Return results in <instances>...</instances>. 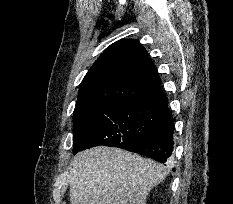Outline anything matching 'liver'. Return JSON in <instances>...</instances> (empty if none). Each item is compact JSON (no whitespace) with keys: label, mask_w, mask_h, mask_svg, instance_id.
<instances>
[{"label":"liver","mask_w":233,"mask_h":204,"mask_svg":"<svg viewBox=\"0 0 233 204\" xmlns=\"http://www.w3.org/2000/svg\"><path fill=\"white\" fill-rule=\"evenodd\" d=\"M167 175L151 159L119 148L97 146L70 162L71 204H146L153 187Z\"/></svg>","instance_id":"obj_1"}]
</instances>
